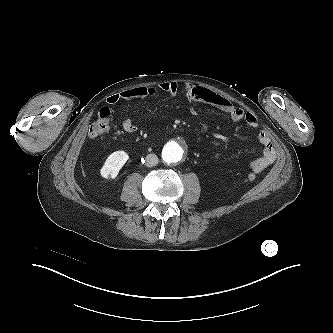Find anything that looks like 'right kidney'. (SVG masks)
<instances>
[{
  "label": "right kidney",
  "mask_w": 333,
  "mask_h": 333,
  "mask_svg": "<svg viewBox=\"0 0 333 333\" xmlns=\"http://www.w3.org/2000/svg\"><path fill=\"white\" fill-rule=\"evenodd\" d=\"M129 159V156L124 151H116L108 156L103 167L100 169V175L103 178L114 179L117 177L120 169Z\"/></svg>",
  "instance_id": "obj_1"
}]
</instances>
